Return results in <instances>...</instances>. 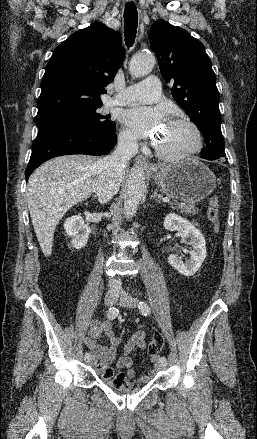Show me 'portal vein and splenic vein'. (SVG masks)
Returning <instances> with one entry per match:
<instances>
[{"instance_id":"obj_1","label":"portal vein and splenic vein","mask_w":257,"mask_h":439,"mask_svg":"<svg viewBox=\"0 0 257 439\" xmlns=\"http://www.w3.org/2000/svg\"><path fill=\"white\" fill-rule=\"evenodd\" d=\"M169 201H170L169 198H167V197L163 198V202H169Z\"/></svg>"}]
</instances>
